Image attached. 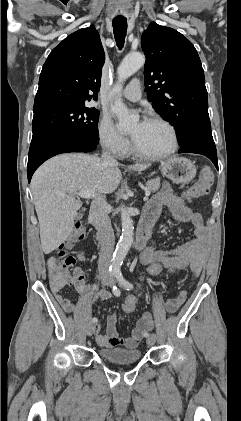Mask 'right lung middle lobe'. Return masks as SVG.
<instances>
[{
    "mask_svg": "<svg viewBox=\"0 0 241 421\" xmlns=\"http://www.w3.org/2000/svg\"><path fill=\"white\" fill-rule=\"evenodd\" d=\"M32 142L52 136H74L98 144L99 111L85 104H49L33 108Z\"/></svg>",
    "mask_w": 241,
    "mask_h": 421,
    "instance_id": "1",
    "label": "right lung middle lobe"
}]
</instances>
